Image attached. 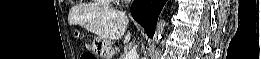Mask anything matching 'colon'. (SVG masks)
Returning a JSON list of instances; mask_svg holds the SVG:
<instances>
[{
  "instance_id": "obj_1",
  "label": "colon",
  "mask_w": 261,
  "mask_h": 59,
  "mask_svg": "<svg viewBox=\"0 0 261 59\" xmlns=\"http://www.w3.org/2000/svg\"><path fill=\"white\" fill-rule=\"evenodd\" d=\"M83 58H85V59H87V58H92V56L89 55V54H85V55H83Z\"/></svg>"
}]
</instances>
